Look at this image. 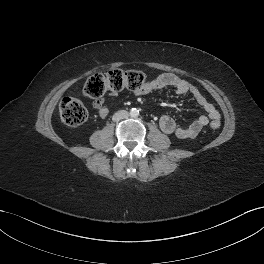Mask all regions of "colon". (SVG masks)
<instances>
[{
  "instance_id": "1",
  "label": "colon",
  "mask_w": 264,
  "mask_h": 264,
  "mask_svg": "<svg viewBox=\"0 0 264 264\" xmlns=\"http://www.w3.org/2000/svg\"><path fill=\"white\" fill-rule=\"evenodd\" d=\"M145 84V76L139 71L110 70L104 74H94L87 78L83 86V95L99 98L105 93H118L124 89L138 90ZM62 121L68 126H78L87 119V110L83 103L73 97H65L59 104ZM211 130L220 127L218 120L211 121Z\"/></svg>"
}]
</instances>
